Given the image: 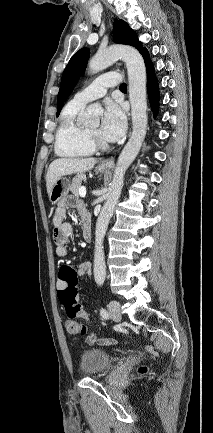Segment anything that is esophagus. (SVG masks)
<instances>
[{"mask_svg": "<svg viewBox=\"0 0 213 433\" xmlns=\"http://www.w3.org/2000/svg\"><path fill=\"white\" fill-rule=\"evenodd\" d=\"M101 165L103 167H109V168L112 167L114 165V158L111 157V158L103 160Z\"/></svg>", "mask_w": 213, "mask_h": 433, "instance_id": "obj_1", "label": "esophagus"}]
</instances>
